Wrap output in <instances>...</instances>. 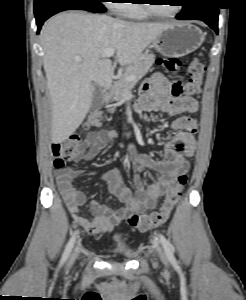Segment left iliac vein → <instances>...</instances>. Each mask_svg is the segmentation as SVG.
<instances>
[{
    "instance_id": "obj_1",
    "label": "left iliac vein",
    "mask_w": 246,
    "mask_h": 300,
    "mask_svg": "<svg viewBox=\"0 0 246 300\" xmlns=\"http://www.w3.org/2000/svg\"><path fill=\"white\" fill-rule=\"evenodd\" d=\"M157 252H158L160 259L163 261V263L167 264V258L160 247H157Z\"/></svg>"
}]
</instances>
